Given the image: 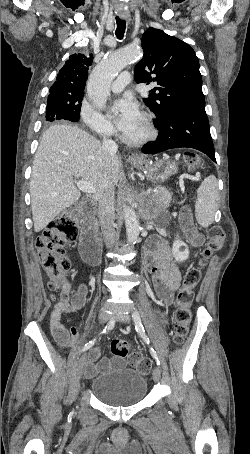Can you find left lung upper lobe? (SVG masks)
Here are the masks:
<instances>
[{
    "mask_svg": "<svg viewBox=\"0 0 250 454\" xmlns=\"http://www.w3.org/2000/svg\"><path fill=\"white\" fill-rule=\"evenodd\" d=\"M143 59L135 67L137 83H156L144 98L156 114L154 124L170 114L189 108H205L199 61L185 42L149 28L142 36Z\"/></svg>",
    "mask_w": 250,
    "mask_h": 454,
    "instance_id": "obj_1",
    "label": "left lung upper lobe"
}]
</instances>
